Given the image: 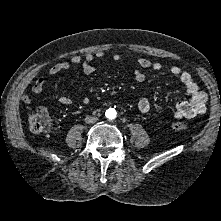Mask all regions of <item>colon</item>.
I'll return each instance as SVG.
<instances>
[{
	"instance_id": "obj_1",
	"label": "colon",
	"mask_w": 221,
	"mask_h": 221,
	"mask_svg": "<svg viewBox=\"0 0 221 221\" xmlns=\"http://www.w3.org/2000/svg\"><path fill=\"white\" fill-rule=\"evenodd\" d=\"M29 127L36 134L48 133L52 128V120L44 108H39L29 117ZM171 128L177 132H184L188 129V123L185 120H177L171 124Z\"/></svg>"
}]
</instances>
